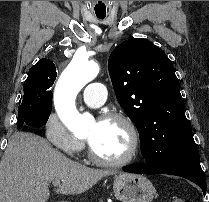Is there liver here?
Instances as JSON below:
<instances>
[{
    "label": "liver",
    "mask_w": 209,
    "mask_h": 202,
    "mask_svg": "<svg viewBox=\"0 0 209 202\" xmlns=\"http://www.w3.org/2000/svg\"><path fill=\"white\" fill-rule=\"evenodd\" d=\"M112 171L74 162L33 133L16 132L0 163V202H46L49 183L61 181V194H81Z\"/></svg>",
    "instance_id": "liver-1"
}]
</instances>
